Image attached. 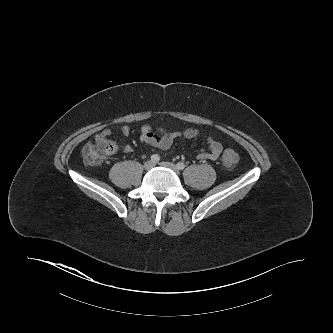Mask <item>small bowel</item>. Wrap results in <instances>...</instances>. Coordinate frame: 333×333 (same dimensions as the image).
I'll use <instances>...</instances> for the list:
<instances>
[{
    "label": "small bowel",
    "instance_id": "1",
    "mask_svg": "<svg viewBox=\"0 0 333 333\" xmlns=\"http://www.w3.org/2000/svg\"><path fill=\"white\" fill-rule=\"evenodd\" d=\"M157 131L161 134L157 136L149 126H143L141 128V141L145 145L152 146L161 150L169 149L175 140L179 137L185 139H193L199 136L201 133L195 128H187L179 132H167L163 128H158ZM119 132L122 136H128L131 132L130 128L126 125L120 127ZM111 129H104L95 136V141H102L108 145L107 155L111 156L117 151L124 153H130L132 147L129 145L120 146L117 143L111 141L109 137L112 135ZM206 149L197 154L196 158L200 161L216 160L219 158L222 152V145L219 141L208 136L206 138Z\"/></svg>",
    "mask_w": 333,
    "mask_h": 333
}]
</instances>
